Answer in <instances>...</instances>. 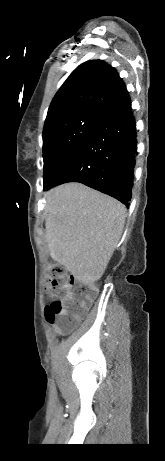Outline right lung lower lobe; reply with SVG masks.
<instances>
[{"mask_svg":"<svg viewBox=\"0 0 165 461\" xmlns=\"http://www.w3.org/2000/svg\"><path fill=\"white\" fill-rule=\"evenodd\" d=\"M136 155V123L130 105L105 118L43 189L80 182L118 199L128 208Z\"/></svg>","mask_w":165,"mask_h":461,"instance_id":"1","label":"right lung lower lobe"}]
</instances>
